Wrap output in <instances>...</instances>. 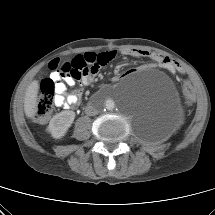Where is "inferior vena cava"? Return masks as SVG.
<instances>
[{
  "label": "inferior vena cava",
  "instance_id": "inferior-vena-cava-1",
  "mask_svg": "<svg viewBox=\"0 0 215 215\" xmlns=\"http://www.w3.org/2000/svg\"><path fill=\"white\" fill-rule=\"evenodd\" d=\"M85 113L89 116H93L98 114V109L95 108L93 105H87L85 108Z\"/></svg>",
  "mask_w": 215,
  "mask_h": 215
}]
</instances>
